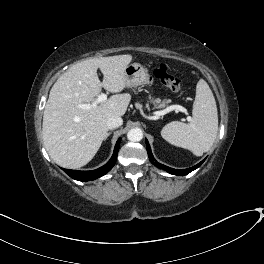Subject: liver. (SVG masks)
Listing matches in <instances>:
<instances>
[{
  "label": "liver",
  "mask_w": 264,
  "mask_h": 264,
  "mask_svg": "<svg viewBox=\"0 0 264 264\" xmlns=\"http://www.w3.org/2000/svg\"><path fill=\"white\" fill-rule=\"evenodd\" d=\"M131 61L130 54L89 58L71 66L54 83L44 109L42 131L45 148L55 163L76 169L95 156L108 131L107 119L123 116L131 95H112L91 109L79 105L94 103L102 88L121 92L126 86L125 69Z\"/></svg>",
  "instance_id": "6515ba94"
}]
</instances>
